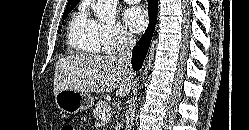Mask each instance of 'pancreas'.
Instances as JSON below:
<instances>
[{
	"label": "pancreas",
	"mask_w": 249,
	"mask_h": 130,
	"mask_svg": "<svg viewBox=\"0 0 249 130\" xmlns=\"http://www.w3.org/2000/svg\"><path fill=\"white\" fill-rule=\"evenodd\" d=\"M109 110L110 106L106 102L99 101L98 103L95 104L93 114L97 119H99V116L101 115L102 112L108 113Z\"/></svg>",
	"instance_id": "cf45deb5"
}]
</instances>
